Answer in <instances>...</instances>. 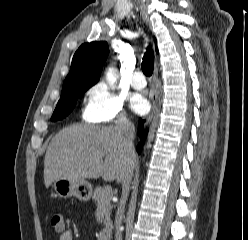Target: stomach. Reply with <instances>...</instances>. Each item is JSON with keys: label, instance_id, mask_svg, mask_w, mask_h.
Wrapping results in <instances>:
<instances>
[{"label": "stomach", "instance_id": "1", "mask_svg": "<svg viewBox=\"0 0 248 240\" xmlns=\"http://www.w3.org/2000/svg\"><path fill=\"white\" fill-rule=\"evenodd\" d=\"M53 189L61 198L76 197L88 201L92 196V186L85 180L58 179L53 182Z\"/></svg>", "mask_w": 248, "mask_h": 240}]
</instances>
